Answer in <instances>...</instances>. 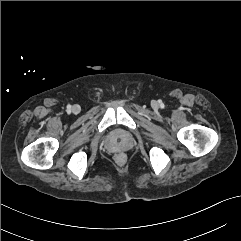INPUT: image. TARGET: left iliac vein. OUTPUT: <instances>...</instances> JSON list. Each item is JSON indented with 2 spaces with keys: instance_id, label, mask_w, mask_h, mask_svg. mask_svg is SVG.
Returning <instances> with one entry per match:
<instances>
[{
  "instance_id": "4c4485c4",
  "label": "left iliac vein",
  "mask_w": 241,
  "mask_h": 241,
  "mask_svg": "<svg viewBox=\"0 0 241 241\" xmlns=\"http://www.w3.org/2000/svg\"><path fill=\"white\" fill-rule=\"evenodd\" d=\"M152 106H153L154 108H157V107H158L157 102H156V101H153V102H152Z\"/></svg>"
}]
</instances>
